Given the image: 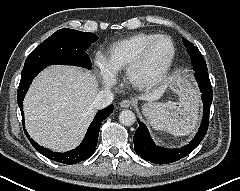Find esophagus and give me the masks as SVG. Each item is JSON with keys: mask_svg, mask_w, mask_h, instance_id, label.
<instances>
[{"mask_svg": "<svg viewBox=\"0 0 240 191\" xmlns=\"http://www.w3.org/2000/svg\"><path fill=\"white\" fill-rule=\"evenodd\" d=\"M132 105H133V101L128 100V99H125V100L120 102V106L122 108H130V107H132Z\"/></svg>", "mask_w": 240, "mask_h": 191, "instance_id": "esophagus-1", "label": "esophagus"}]
</instances>
